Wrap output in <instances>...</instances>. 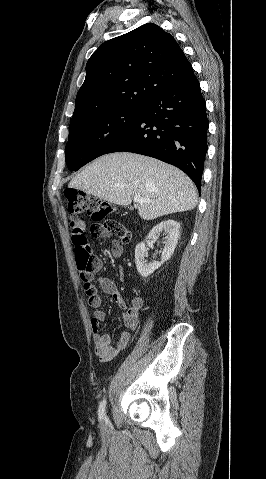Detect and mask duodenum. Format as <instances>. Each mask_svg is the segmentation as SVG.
I'll list each match as a JSON object with an SVG mask.
<instances>
[{
	"mask_svg": "<svg viewBox=\"0 0 266 479\" xmlns=\"http://www.w3.org/2000/svg\"><path fill=\"white\" fill-rule=\"evenodd\" d=\"M113 251H114V252H117V251H118V248H114Z\"/></svg>",
	"mask_w": 266,
	"mask_h": 479,
	"instance_id": "410a0bca",
	"label": "duodenum"
}]
</instances>
